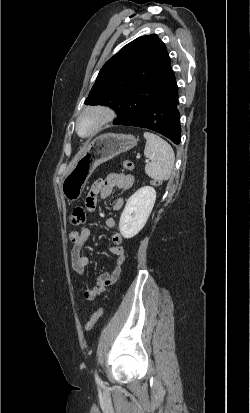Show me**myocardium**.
Masks as SVG:
<instances>
[{"mask_svg": "<svg viewBox=\"0 0 250 413\" xmlns=\"http://www.w3.org/2000/svg\"><path fill=\"white\" fill-rule=\"evenodd\" d=\"M88 115L95 116L96 122L93 128L87 134H81L80 122ZM117 117V113L113 107L107 104H94L84 108L76 118L75 129L77 134L82 138H89L100 132L105 126L112 123Z\"/></svg>", "mask_w": 250, "mask_h": 413, "instance_id": "myocardium-1", "label": "myocardium"}]
</instances>
